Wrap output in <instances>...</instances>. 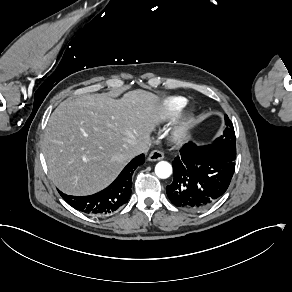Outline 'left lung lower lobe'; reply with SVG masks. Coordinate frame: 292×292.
Here are the masks:
<instances>
[{
	"mask_svg": "<svg viewBox=\"0 0 292 292\" xmlns=\"http://www.w3.org/2000/svg\"><path fill=\"white\" fill-rule=\"evenodd\" d=\"M235 159L236 152L217 146L185 144L172 162L174 179L166 187L169 200L189 211L209 207L226 192Z\"/></svg>",
	"mask_w": 292,
	"mask_h": 292,
	"instance_id": "1",
	"label": "left lung lower lobe"
}]
</instances>
